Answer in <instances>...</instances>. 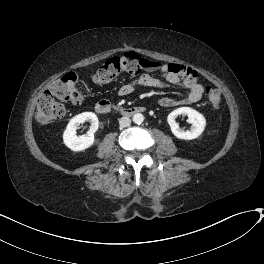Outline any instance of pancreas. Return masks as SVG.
I'll return each instance as SVG.
<instances>
[{"label":"pancreas","instance_id":"pancreas-1","mask_svg":"<svg viewBox=\"0 0 264 264\" xmlns=\"http://www.w3.org/2000/svg\"><path fill=\"white\" fill-rule=\"evenodd\" d=\"M113 108L116 109V110H120L121 109L120 106H113Z\"/></svg>","mask_w":264,"mask_h":264}]
</instances>
